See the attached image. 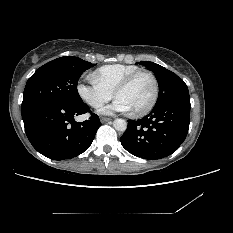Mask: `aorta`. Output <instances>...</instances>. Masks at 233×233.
Instances as JSON below:
<instances>
[{"label": "aorta", "instance_id": "obj_1", "mask_svg": "<svg viewBox=\"0 0 233 233\" xmlns=\"http://www.w3.org/2000/svg\"><path fill=\"white\" fill-rule=\"evenodd\" d=\"M113 126L117 131H125L127 128V122L124 119H116L113 122Z\"/></svg>", "mask_w": 233, "mask_h": 233}]
</instances>
